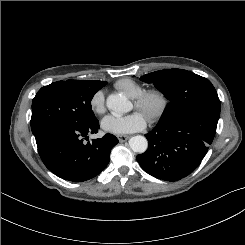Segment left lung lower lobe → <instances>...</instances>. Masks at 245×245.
Here are the masks:
<instances>
[{"label":"left lung lower lobe","instance_id":"0a47b994","mask_svg":"<svg viewBox=\"0 0 245 245\" xmlns=\"http://www.w3.org/2000/svg\"><path fill=\"white\" fill-rule=\"evenodd\" d=\"M220 114L196 111L177 121L157 125L146 134L148 150L137 161L148 174L175 182L194 171L208 151Z\"/></svg>","mask_w":245,"mask_h":245}]
</instances>
